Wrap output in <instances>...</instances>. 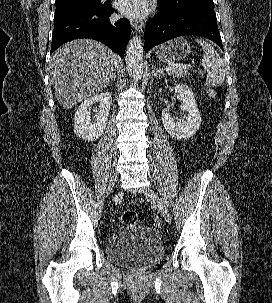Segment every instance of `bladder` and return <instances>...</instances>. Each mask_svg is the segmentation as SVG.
Masks as SVG:
<instances>
[{
    "instance_id": "bladder-1",
    "label": "bladder",
    "mask_w": 272,
    "mask_h": 303,
    "mask_svg": "<svg viewBox=\"0 0 272 303\" xmlns=\"http://www.w3.org/2000/svg\"><path fill=\"white\" fill-rule=\"evenodd\" d=\"M108 259L131 268L146 269L163 259L164 245L159 234L146 225H126L106 243Z\"/></svg>"
}]
</instances>
